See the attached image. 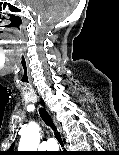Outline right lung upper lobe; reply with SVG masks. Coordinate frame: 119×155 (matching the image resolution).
<instances>
[{"label":"right lung upper lobe","instance_id":"cb5924a9","mask_svg":"<svg viewBox=\"0 0 119 155\" xmlns=\"http://www.w3.org/2000/svg\"><path fill=\"white\" fill-rule=\"evenodd\" d=\"M8 153H9V155H17V152L13 151V145H11V147L9 148Z\"/></svg>","mask_w":119,"mask_h":155}]
</instances>
